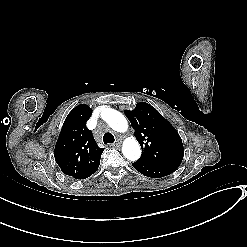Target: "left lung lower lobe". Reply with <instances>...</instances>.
I'll return each mask as SVG.
<instances>
[{
    "label": "left lung lower lobe",
    "mask_w": 247,
    "mask_h": 247,
    "mask_svg": "<svg viewBox=\"0 0 247 247\" xmlns=\"http://www.w3.org/2000/svg\"><path fill=\"white\" fill-rule=\"evenodd\" d=\"M132 165L141 174L151 178L164 177L174 172L170 169L158 166L150 162L136 161L132 163Z\"/></svg>",
    "instance_id": "obj_1"
}]
</instances>
